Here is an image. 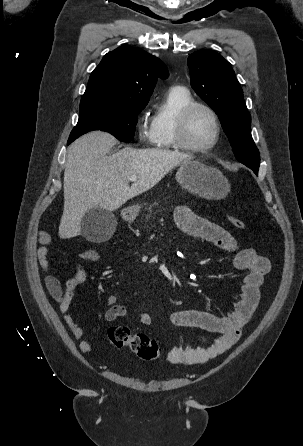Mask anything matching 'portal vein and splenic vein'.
Masks as SVG:
<instances>
[{"label": "portal vein and splenic vein", "mask_w": 303, "mask_h": 446, "mask_svg": "<svg viewBox=\"0 0 303 446\" xmlns=\"http://www.w3.org/2000/svg\"><path fill=\"white\" fill-rule=\"evenodd\" d=\"M138 179V177L136 175L130 176L128 178L129 181H136Z\"/></svg>", "instance_id": "18ae733b"}]
</instances>
